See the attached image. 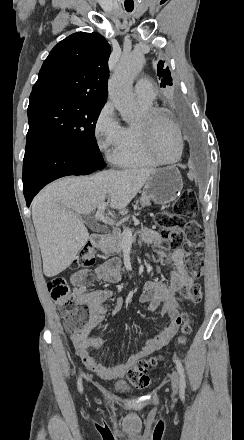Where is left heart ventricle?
I'll return each instance as SVG.
<instances>
[{
  "label": "left heart ventricle",
  "mask_w": 244,
  "mask_h": 440,
  "mask_svg": "<svg viewBox=\"0 0 244 440\" xmlns=\"http://www.w3.org/2000/svg\"><path fill=\"white\" fill-rule=\"evenodd\" d=\"M149 128L155 130L150 137L155 151H159V155L165 160L173 159L177 154L178 138L176 132L169 127V122L159 121Z\"/></svg>",
  "instance_id": "b2bd125f"
}]
</instances>
